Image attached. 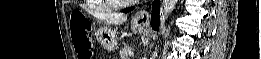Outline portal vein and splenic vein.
I'll list each match as a JSON object with an SVG mask.
<instances>
[{
	"mask_svg": "<svg viewBox=\"0 0 261 59\" xmlns=\"http://www.w3.org/2000/svg\"><path fill=\"white\" fill-rule=\"evenodd\" d=\"M129 56H133V52L132 51L129 52Z\"/></svg>",
	"mask_w": 261,
	"mask_h": 59,
	"instance_id": "portal-vein-and-splenic-vein-1",
	"label": "portal vein and splenic vein"
}]
</instances>
